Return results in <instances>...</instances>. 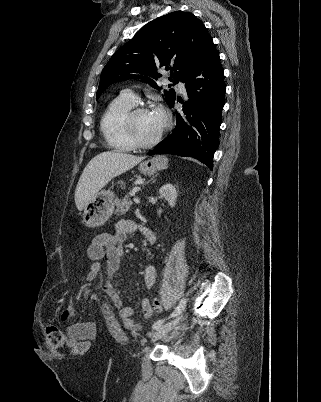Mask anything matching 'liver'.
Wrapping results in <instances>:
<instances>
[{"label":"liver","instance_id":"1","mask_svg":"<svg viewBox=\"0 0 321 402\" xmlns=\"http://www.w3.org/2000/svg\"><path fill=\"white\" fill-rule=\"evenodd\" d=\"M143 159L144 157L115 150L105 151L93 157L84 168L75 190L77 209L83 210L112 178L133 168Z\"/></svg>","mask_w":321,"mask_h":402}]
</instances>
